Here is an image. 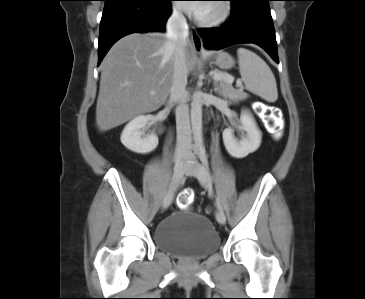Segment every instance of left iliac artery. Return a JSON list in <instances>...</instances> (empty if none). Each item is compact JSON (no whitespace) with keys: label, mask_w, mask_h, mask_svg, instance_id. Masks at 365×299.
<instances>
[{"label":"left iliac artery","mask_w":365,"mask_h":299,"mask_svg":"<svg viewBox=\"0 0 365 299\" xmlns=\"http://www.w3.org/2000/svg\"><path fill=\"white\" fill-rule=\"evenodd\" d=\"M199 157H200V160H201L204 168L209 173V165H208V160H207V156H206V151H205L204 148L200 149V151H199ZM216 204H217L218 209H220V210L223 211V207L221 205V202H220V199H219L218 196L216 198Z\"/></svg>","instance_id":"1"}]
</instances>
